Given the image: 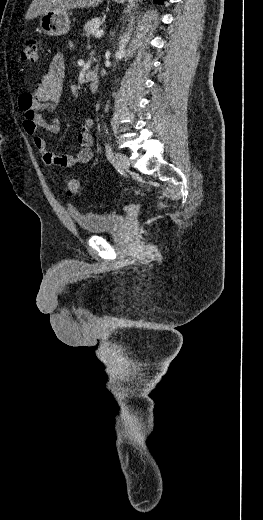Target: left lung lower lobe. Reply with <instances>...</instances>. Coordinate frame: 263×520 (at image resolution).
<instances>
[{
    "label": "left lung lower lobe",
    "mask_w": 263,
    "mask_h": 520,
    "mask_svg": "<svg viewBox=\"0 0 263 520\" xmlns=\"http://www.w3.org/2000/svg\"><path fill=\"white\" fill-rule=\"evenodd\" d=\"M156 3H163L164 0H154Z\"/></svg>",
    "instance_id": "left-lung-lower-lobe-1"
}]
</instances>
